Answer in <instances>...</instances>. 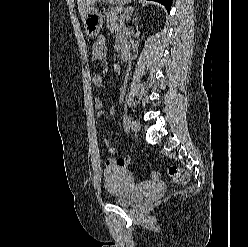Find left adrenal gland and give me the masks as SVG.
<instances>
[{"mask_svg": "<svg viewBox=\"0 0 248 247\" xmlns=\"http://www.w3.org/2000/svg\"><path fill=\"white\" fill-rule=\"evenodd\" d=\"M133 10H134V9L132 8L131 11H130V16H132ZM129 19H131V18H129Z\"/></svg>", "mask_w": 248, "mask_h": 247, "instance_id": "1", "label": "left adrenal gland"}]
</instances>
